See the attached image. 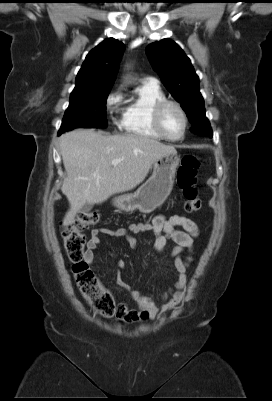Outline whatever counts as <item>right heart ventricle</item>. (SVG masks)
<instances>
[{"label":"right heart ventricle","mask_w":272,"mask_h":401,"mask_svg":"<svg viewBox=\"0 0 272 401\" xmlns=\"http://www.w3.org/2000/svg\"><path fill=\"white\" fill-rule=\"evenodd\" d=\"M164 99H166L165 94L158 85L138 86L134 98L124 109L122 130L137 138L164 139L155 129L152 120L154 107Z\"/></svg>","instance_id":"right-heart-ventricle-1"}]
</instances>
